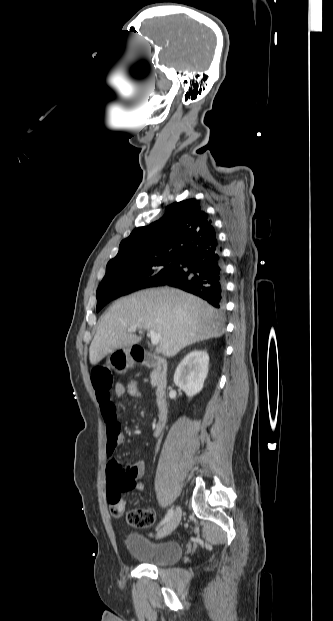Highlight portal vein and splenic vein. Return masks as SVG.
Segmentation results:
<instances>
[{
	"instance_id": "obj_1",
	"label": "portal vein and splenic vein",
	"mask_w": 333,
	"mask_h": 621,
	"mask_svg": "<svg viewBox=\"0 0 333 621\" xmlns=\"http://www.w3.org/2000/svg\"><path fill=\"white\" fill-rule=\"evenodd\" d=\"M136 330H137V327H130V328L128 329V331H129V332H135ZM149 334H150V337H151V343H152L153 345H157V344H158V342H159V340L161 339V334H160V333L155 332V331H154V330H152V329H150V330H149Z\"/></svg>"
}]
</instances>
